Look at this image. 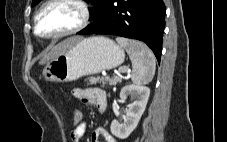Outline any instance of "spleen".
Listing matches in <instances>:
<instances>
[{
	"label": "spleen",
	"mask_w": 227,
	"mask_h": 142,
	"mask_svg": "<svg viewBox=\"0 0 227 142\" xmlns=\"http://www.w3.org/2000/svg\"><path fill=\"white\" fill-rule=\"evenodd\" d=\"M116 41L126 49L132 62V82L136 85L151 82L155 74L156 59L150 48L142 42L127 38L117 37Z\"/></svg>",
	"instance_id": "spleen-1"
}]
</instances>
